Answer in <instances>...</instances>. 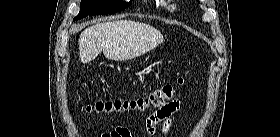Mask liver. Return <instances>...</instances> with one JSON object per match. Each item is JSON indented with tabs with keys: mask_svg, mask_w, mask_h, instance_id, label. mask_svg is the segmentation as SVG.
<instances>
[{
	"mask_svg": "<svg viewBox=\"0 0 280 137\" xmlns=\"http://www.w3.org/2000/svg\"><path fill=\"white\" fill-rule=\"evenodd\" d=\"M163 40L160 31L145 23L128 20L97 23L79 37V60L88 63L102 51L108 59L129 60L149 52Z\"/></svg>",
	"mask_w": 280,
	"mask_h": 137,
	"instance_id": "1",
	"label": "liver"
}]
</instances>
